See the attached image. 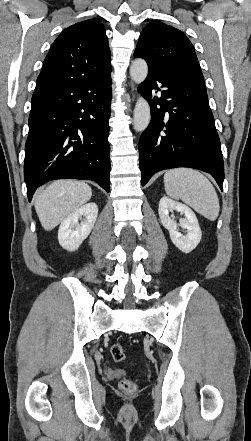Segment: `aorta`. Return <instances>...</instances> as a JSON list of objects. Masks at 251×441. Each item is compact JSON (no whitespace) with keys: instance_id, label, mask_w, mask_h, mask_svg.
<instances>
[{"instance_id":"aorta-1","label":"aorta","mask_w":251,"mask_h":441,"mask_svg":"<svg viewBox=\"0 0 251 441\" xmlns=\"http://www.w3.org/2000/svg\"><path fill=\"white\" fill-rule=\"evenodd\" d=\"M148 74V66L145 60L136 59L130 67V75L137 84L142 83ZM150 106L148 102L139 97L134 108V128L138 132L144 131L150 122Z\"/></svg>"}]
</instances>
